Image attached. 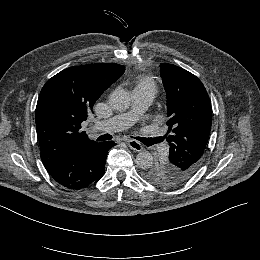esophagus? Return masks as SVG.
<instances>
[{
  "label": "esophagus",
  "instance_id": "esophagus-1",
  "mask_svg": "<svg viewBox=\"0 0 260 260\" xmlns=\"http://www.w3.org/2000/svg\"><path fill=\"white\" fill-rule=\"evenodd\" d=\"M128 146H129L132 150L138 151V152L142 151V149H143L142 144H141L139 141L134 140V139L128 140Z\"/></svg>",
  "mask_w": 260,
  "mask_h": 260
}]
</instances>
